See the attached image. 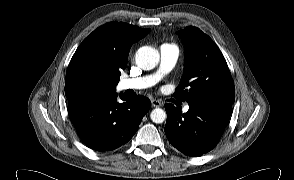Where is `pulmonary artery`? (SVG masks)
Instances as JSON below:
<instances>
[{"label":"pulmonary artery","instance_id":"pulmonary-artery-1","mask_svg":"<svg viewBox=\"0 0 294 180\" xmlns=\"http://www.w3.org/2000/svg\"><path fill=\"white\" fill-rule=\"evenodd\" d=\"M160 67L158 71L152 75H147L138 78L123 80L119 87L120 90H141L148 88L157 83L164 74L168 73L175 65L178 58V49L171 44H164L160 47ZM189 106H184L183 111L187 112Z\"/></svg>","mask_w":294,"mask_h":180}]
</instances>
